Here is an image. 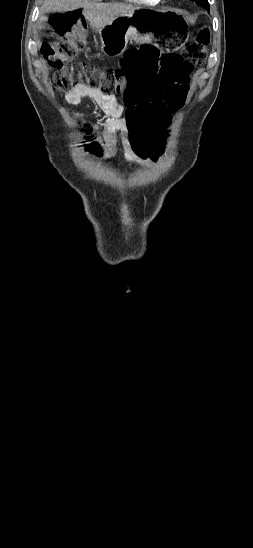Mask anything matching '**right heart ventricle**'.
Segmentation results:
<instances>
[{
  "label": "right heart ventricle",
  "instance_id": "1",
  "mask_svg": "<svg viewBox=\"0 0 253 548\" xmlns=\"http://www.w3.org/2000/svg\"><path fill=\"white\" fill-rule=\"evenodd\" d=\"M127 1L138 3V4H144V5H156L161 0H127Z\"/></svg>",
  "mask_w": 253,
  "mask_h": 548
}]
</instances>
